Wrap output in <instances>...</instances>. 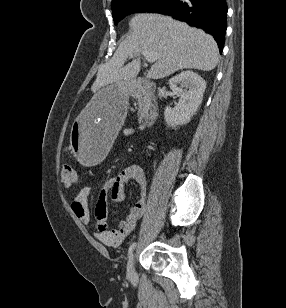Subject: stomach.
Segmentation results:
<instances>
[{"label": "stomach", "instance_id": "0dacf381", "mask_svg": "<svg viewBox=\"0 0 286 308\" xmlns=\"http://www.w3.org/2000/svg\"><path fill=\"white\" fill-rule=\"evenodd\" d=\"M131 87L128 84L103 85L88 97L86 109L71 122L72 152L78 165H99L113 149L114 137L126 116Z\"/></svg>", "mask_w": 286, "mask_h": 308}]
</instances>
